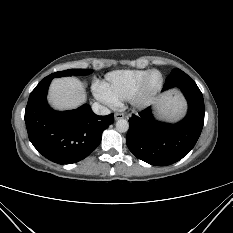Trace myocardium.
I'll use <instances>...</instances> for the list:
<instances>
[{"mask_svg": "<svg viewBox=\"0 0 233 233\" xmlns=\"http://www.w3.org/2000/svg\"><path fill=\"white\" fill-rule=\"evenodd\" d=\"M153 73H158L160 76V81L158 85L154 89L148 88V80L149 77ZM163 75L158 70H149L144 77L141 79L140 83L138 84L137 88L133 92L132 96L130 97L129 101L135 108L142 109L148 106L159 94L163 86Z\"/></svg>", "mask_w": 233, "mask_h": 233, "instance_id": "myocardium-1", "label": "myocardium"}]
</instances>
